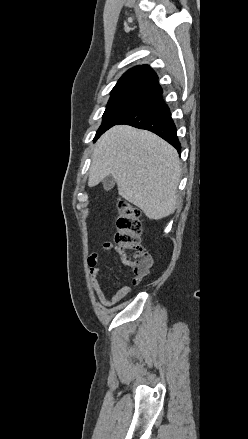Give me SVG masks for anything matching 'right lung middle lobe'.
Listing matches in <instances>:
<instances>
[{
	"label": "right lung middle lobe",
	"instance_id": "obj_1",
	"mask_svg": "<svg viewBox=\"0 0 248 439\" xmlns=\"http://www.w3.org/2000/svg\"><path fill=\"white\" fill-rule=\"evenodd\" d=\"M150 100H152V98L148 96L136 94L112 95L103 114V122L99 127L94 140H96L107 129L148 103Z\"/></svg>",
	"mask_w": 248,
	"mask_h": 439
}]
</instances>
